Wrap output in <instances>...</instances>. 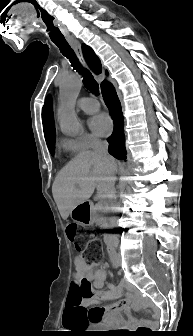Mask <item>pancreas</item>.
Returning <instances> with one entry per match:
<instances>
[{
  "instance_id": "pancreas-1",
  "label": "pancreas",
  "mask_w": 193,
  "mask_h": 336,
  "mask_svg": "<svg viewBox=\"0 0 193 336\" xmlns=\"http://www.w3.org/2000/svg\"><path fill=\"white\" fill-rule=\"evenodd\" d=\"M96 211H99V206H97ZM102 215H103V212H102V211H99V212H98V215H97V218H98V219H101V218H102ZM101 224H104V221H101Z\"/></svg>"
}]
</instances>
